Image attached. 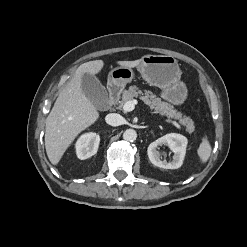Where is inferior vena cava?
Here are the masks:
<instances>
[{"label": "inferior vena cava", "instance_id": "1", "mask_svg": "<svg viewBox=\"0 0 247 247\" xmlns=\"http://www.w3.org/2000/svg\"><path fill=\"white\" fill-rule=\"evenodd\" d=\"M105 121L111 126H119L123 124V117L117 113H110L106 115Z\"/></svg>", "mask_w": 247, "mask_h": 247}]
</instances>
